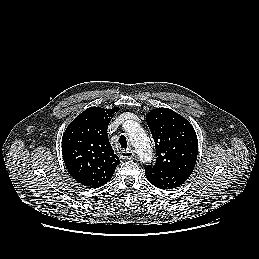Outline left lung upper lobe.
<instances>
[{"label":"left lung upper lobe","mask_w":259,"mask_h":259,"mask_svg":"<svg viewBox=\"0 0 259 259\" xmlns=\"http://www.w3.org/2000/svg\"><path fill=\"white\" fill-rule=\"evenodd\" d=\"M147 124L156 145V162L145 169L172 172L187 179L196 164L198 140L193 126L180 114L156 108L147 114Z\"/></svg>","instance_id":"obj_1"}]
</instances>
